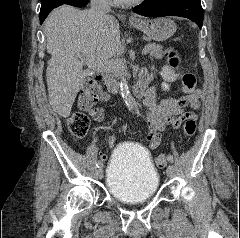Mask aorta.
<instances>
[{
	"label": "aorta",
	"mask_w": 240,
	"mask_h": 238,
	"mask_svg": "<svg viewBox=\"0 0 240 238\" xmlns=\"http://www.w3.org/2000/svg\"><path fill=\"white\" fill-rule=\"evenodd\" d=\"M120 93L125 102L126 107L129 109V111H133L135 109V104L129 90L127 78L124 76L120 81Z\"/></svg>",
	"instance_id": "1"
}]
</instances>
